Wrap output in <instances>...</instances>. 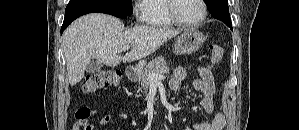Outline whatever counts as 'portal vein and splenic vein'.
<instances>
[{
    "label": "portal vein and splenic vein",
    "mask_w": 299,
    "mask_h": 130,
    "mask_svg": "<svg viewBox=\"0 0 299 130\" xmlns=\"http://www.w3.org/2000/svg\"><path fill=\"white\" fill-rule=\"evenodd\" d=\"M129 46H123L121 48V51H127L129 50ZM149 79H150V82H158V81H161L163 79H165V76L164 75H157V74H149Z\"/></svg>",
    "instance_id": "obj_1"
}]
</instances>
